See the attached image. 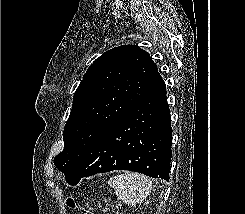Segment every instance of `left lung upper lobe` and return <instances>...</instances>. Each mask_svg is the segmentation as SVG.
Returning a JSON list of instances; mask_svg holds the SVG:
<instances>
[{
  "mask_svg": "<svg viewBox=\"0 0 245 214\" xmlns=\"http://www.w3.org/2000/svg\"><path fill=\"white\" fill-rule=\"evenodd\" d=\"M162 84L157 65L137 45L115 47L98 57L74 94L55 166L66 176L110 125Z\"/></svg>",
  "mask_w": 245,
  "mask_h": 214,
  "instance_id": "5c2ea615",
  "label": "left lung upper lobe"
}]
</instances>
